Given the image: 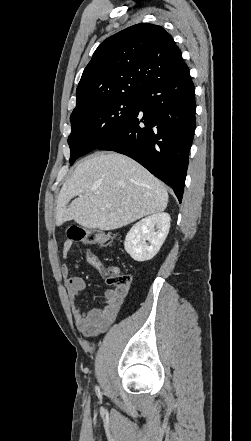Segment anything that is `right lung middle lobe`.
Instances as JSON below:
<instances>
[{
	"mask_svg": "<svg viewBox=\"0 0 251 441\" xmlns=\"http://www.w3.org/2000/svg\"><path fill=\"white\" fill-rule=\"evenodd\" d=\"M139 101L140 95L108 97L91 102L72 114V132L68 138L70 164L118 132L135 112Z\"/></svg>",
	"mask_w": 251,
	"mask_h": 441,
	"instance_id": "dd1d6c3e",
	"label": "right lung middle lobe"
}]
</instances>
